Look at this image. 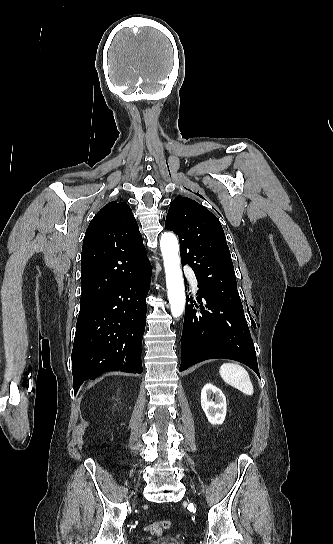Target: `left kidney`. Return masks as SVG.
Masks as SVG:
<instances>
[{"mask_svg": "<svg viewBox=\"0 0 333 544\" xmlns=\"http://www.w3.org/2000/svg\"><path fill=\"white\" fill-rule=\"evenodd\" d=\"M212 394L215 400L211 399ZM201 407L212 425H220L226 417V398L222 391L211 383L201 390Z\"/></svg>", "mask_w": 333, "mask_h": 544, "instance_id": "5707ae66", "label": "left kidney"}]
</instances>
